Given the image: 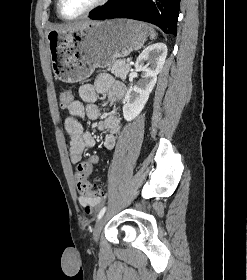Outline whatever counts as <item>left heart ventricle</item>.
<instances>
[{"label":"left heart ventricle","mask_w":247,"mask_h":280,"mask_svg":"<svg viewBox=\"0 0 247 280\" xmlns=\"http://www.w3.org/2000/svg\"><path fill=\"white\" fill-rule=\"evenodd\" d=\"M97 0H62V12L67 17H74L90 6H92Z\"/></svg>","instance_id":"1"}]
</instances>
